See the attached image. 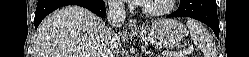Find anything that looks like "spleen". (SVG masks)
<instances>
[{
	"label": "spleen",
	"instance_id": "3e777b00",
	"mask_svg": "<svg viewBox=\"0 0 249 57\" xmlns=\"http://www.w3.org/2000/svg\"><path fill=\"white\" fill-rule=\"evenodd\" d=\"M186 25L193 42L203 50L205 57H216L213 49L212 37L206 28L194 19H188Z\"/></svg>",
	"mask_w": 249,
	"mask_h": 57
}]
</instances>
